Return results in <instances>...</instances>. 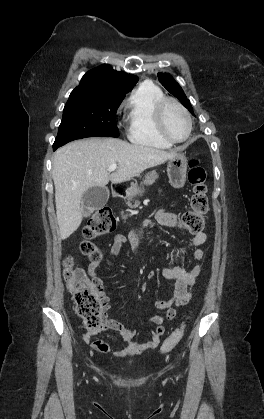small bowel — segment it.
Here are the masks:
<instances>
[{
    "instance_id": "c3829d8e",
    "label": "small bowel",
    "mask_w": 264,
    "mask_h": 419,
    "mask_svg": "<svg viewBox=\"0 0 264 419\" xmlns=\"http://www.w3.org/2000/svg\"><path fill=\"white\" fill-rule=\"evenodd\" d=\"M156 221L167 227H176L178 225V218L175 214L167 212L165 209H159L155 214ZM151 227V222L145 220L141 226L135 229L130 235V242L133 247L139 246L140 236L142 232ZM207 240L205 232L197 233L194 238L189 242V246L193 248V259L195 261H201L205 257L204 245ZM126 239L122 235H116L112 243V253L117 254ZM99 262H91L86 269V273L94 283L99 295L105 301V314L103 316L102 327L94 332H86L83 335L84 342L90 344V346L101 354H109L110 346L103 339H95L93 337L106 330H111L118 333L123 341V347L114 353L117 358H128L138 353L145 352L150 349H154L159 346L160 338L165 332L163 326L164 321L172 320L175 316L174 307L183 306L187 304L192 297V288L197 283V278L203 270L202 264H197L192 268H185L180 265H169L163 268L162 274L166 279L174 280V289L172 297L170 299H159L156 301V307L164 312V314H158L151 317L148 320L150 325H154L155 328L151 333V338L145 342L133 341L135 330L128 329L120 321L108 316L106 311L110 309L109 297L106 295L103 282L98 276ZM156 277L155 272L151 271L148 274L149 280H154ZM145 287V286H143Z\"/></svg>"
}]
</instances>
